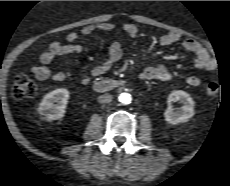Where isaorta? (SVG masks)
<instances>
[{"label": "aorta", "instance_id": "762f6f07", "mask_svg": "<svg viewBox=\"0 0 230 186\" xmlns=\"http://www.w3.org/2000/svg\"><path fill=\"white\" fill-rule=\"evenodd\" d=\"M119 101L122 103V104H130L131 101H132V97L129 93H121L118 97Z\"/></svg>", "mask_w": 230, "mask_h": 186}]
</instances>
